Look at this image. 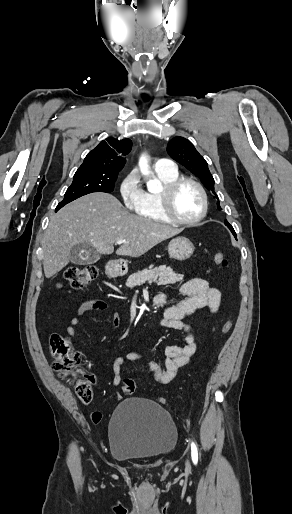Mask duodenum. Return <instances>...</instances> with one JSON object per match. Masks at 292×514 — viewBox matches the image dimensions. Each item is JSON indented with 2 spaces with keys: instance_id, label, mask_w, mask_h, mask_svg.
Returning a JSON list of instances; mask_svg holds the SVG:
<instances>
[{
  "instance_id": "1",
  "label": "duodenum",
  "mask_w": 292,
  "mask_h": 514,
  "mask_svg": "<svg viewBox=\"0 0 292 514\" xmlns=\"http://www.w3.org/2000/svg\"><path fill=\"white\" fill-rule=\"evenodd\" d=\"M155 303H156V305H158V306H162V307H164V306H166V304H167V299H166V297H165V296H163V295H158V296H156V297H155Z\"/></svg>"
}]
</instances>
